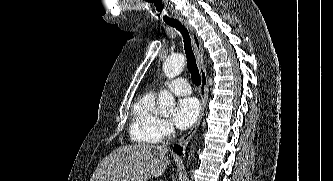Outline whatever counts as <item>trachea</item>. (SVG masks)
<instances>
[{"label": "trachea", "instance_id": "1", "mask_svg": "<svg viewBox=\"0 0 333 181\" xmlns=\"http://www.w3.org/2000/svg\"><path fill=\"white\" fill-rule=\"evenodd\" d=\"M166 24L176 28L182 34L185 54L187 57V67L191 73L193 83L199 86L201 84V76L196 64L195 56L191 47V39L187 29L182 26L177 20L166 21Z\"/></svg>", "mask_w": 333, "mask_h": 181}]
</instances>
